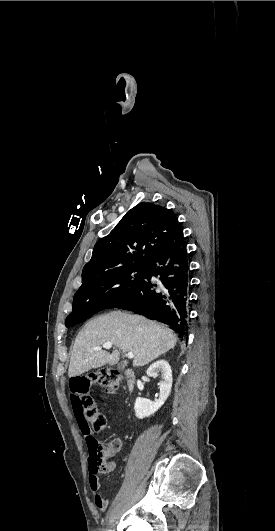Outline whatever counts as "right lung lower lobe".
Returning <instances> with one entry per match:
<instances>
[{
	"mask_svg": "<svg viewBox=\"0 0 275 531\" xmlns=\"http://www.w3.org/2000/svg\"><path fill=\"white\" fill-rule=\"evenodd\" d=\"M151 276L158 281H151ZM187 287V251L179 224L146 266L143 280L116 308L166 323L180 336H187Z\"/></svg>",
	"mask_w": 275,
	"mask_h": 531,
	"instance_id": "98d812e1",
	"label": "right lung lower lobe"
}]
</instances>
